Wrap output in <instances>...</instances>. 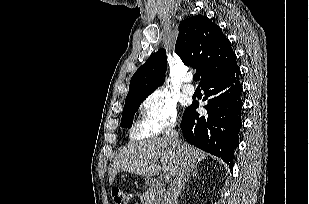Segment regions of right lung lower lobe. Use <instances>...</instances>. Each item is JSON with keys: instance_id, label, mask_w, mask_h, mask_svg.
<instances>
[{"instance_id": "obj_1", "label": "right lung lower lobe", "mask_w": 309, "mask_h": 204, "mask_svg": "<svg viewBox=\"0 0 309 204\" xmlns=\"http://www.w3.org/2000/svg\"><path fill=\"white\" fill-rule=\"evenodd\" d=\"M237 64L201 84L207 113L195 111L197 103L185 109L181 129L185 139L194 146L220 157L233 166L234 149L239 143L242 127V85Z\"/></svg>"}]
</instances>
